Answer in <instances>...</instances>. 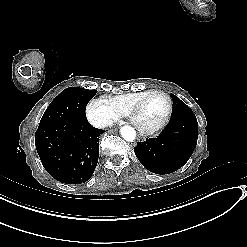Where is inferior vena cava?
I'll return each mask as SVG.
<instances>
[{
    "instance_id": "602c4592",
    "label": "inferior vena cava",
    "mask_w": 247,
    "mask_h": 247,
    "mask_svg": "<svg viewBox=\"0 0 247 247\" xmlns=\"http://www.w3.org/2000/svg\"><path fill=\"white\" fill-rule=\"evenodd\" d=\"M111 124H112V123H111L110 120L100 119V120H96V121H95V126H96L97 128H100V129L105 128V127H107V126H109V125H111Z\"/></svg>"
}]
</instances>
